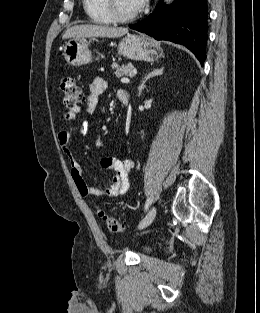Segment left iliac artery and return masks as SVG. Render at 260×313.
Instances as JSON below:
<instances>
[{"mask_svg": "<svg viewBox=\"0 0 260 313\" xmlns=\"http://www.w3.org/2000/svg\"><path fill=\"white\" fill-rule=\"evenodd\" d=\"M152 203V198H148L147 201H146V204H145V211L148 210V208L150 207Z\"/></svg>", "mask_w": 260, "mask_h": 313, "instance_id": "44dca946", "label": "left iliac artery"}]
</instances>
